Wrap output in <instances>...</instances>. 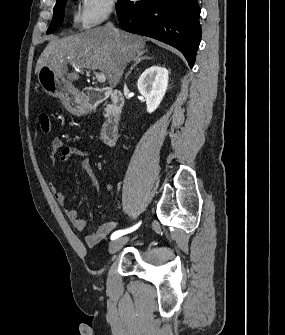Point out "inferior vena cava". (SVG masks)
<instances>
[{
	"label": "inferior vena cava",
	"mask_w": 285,
	"mask_h": 335,
	"mask_svg": "<svg viewBox=\"0 0 285 335\" xmlns=\"http://www.w3.org/2000/svg\"><path fill=\"white\" fill-rule=\"evenodd\" d=\"M113 2H109V6H108V14H111L112 10H113ZM108 28H111V30H114V32H116V28H114L112 22H108Z\"/></svg>",
	"instance_id": "inferior-vena-cava-1"
}]
</instances>
